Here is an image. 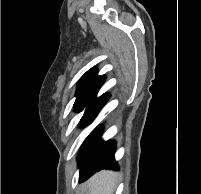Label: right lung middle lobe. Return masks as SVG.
I'll return each mask as SVG.
<instances>
[{
  "label": "right lung middle lobe",
  "instance_id": "1",
  "mask_svg": "<svg viewBox=\"0 0 201 194\" xmlns=\"http://www.w3.org/2000/svg\"><path fill=\"white\" fill-rule=\"evenodd\" d=\"M86 105H88L87 103H78V104H74L75 108H78V111H81L83 109V107H85Z\"/></svg>",
  "mask_w": 201,
  "mask_h": 194
}]
</instances>
